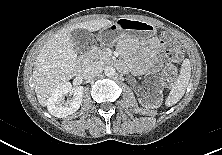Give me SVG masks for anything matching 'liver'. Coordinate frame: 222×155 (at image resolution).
Here are the masks:
<instances>
[{
	"mask_svg": "<svg viewBox=\"0 0 222 155\" xmlns=\"http://www.w3.org/2000/svg\"><path fill=\"white\" fill-rule=\"evenodd\" d=\"M108 19L90 20L71 25L55 34L40 50L33 69L34 88L38 102L46 106L51 92L61 83L72 79L79 69L77 52L70 36L75 29L95 32L108 27Z\"/></svg>",
	"mask_w": 222,
	"mask_h": 155,
	"instance_id": "6515ba94",
	"label": "liver"
}]
</instances>
